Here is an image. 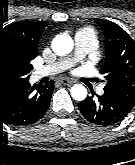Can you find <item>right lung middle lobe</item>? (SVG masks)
<instances>
[{"label": "right lung middle lobe", "mask_w": 135, "mask_h": 165, "mask_svg": "<svg viewBox=\"0 0 135 165\" xmlns=\"http://www.w3.org/2000/svg\"><path fill=\"white\" fill-rule=\"evenodd\" d=\"M0 81L16 82V81H22V79H20L18 75H13V76L1 75Z\"/></svg>", "instance_id": "dd1d6c3e"}]
</instances>
